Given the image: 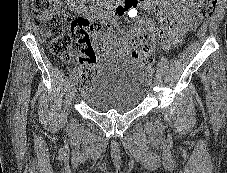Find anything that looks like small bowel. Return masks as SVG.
Masks as SVG:
<instances>
[{
	"mask_svg": "<svg viewBox=\"0 0 227 173\" xmlns=\"http://www.w3.org/2000/svg\"><path fill=\"white\" fill-rule=\"evenodd\" d=\"M139 6L153 11L162 27H155L146 17L140 18L134 28L121 29L116 33L108 32L106 35L95 37L96 52L104 57L129 56L132 55V43L147 39L148 46L152 47V38L155 37L164 49L169 50L178 45L183 36L200 22L195 0H131L120 15L136 12ZM95 59L89 62L79 59V63L85 68L93 65Z\"/></svg>",
	"mask_w": 227,
	"mask_h": 173,
	"instance_id": "small-bowel-1",
	"label": "small bowel"
}]
</instances>
